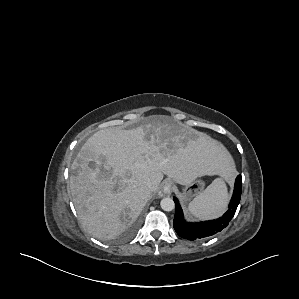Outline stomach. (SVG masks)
Masks as SVG:
<instances>
[{
  "mask_svg": "<svg viewBox=\"0 0 299 299\" xmlns=\"http://www.w3.org/2000/svg\"><path fill=\"white\" fill-rule=\"evenodd\" d=\"M203 186V181L198 177L195 180H193L190 184L185 185V188L181 193V198L183 202L187 203L191 201L193 197L198 196L201 193Z\"/></svg>",
  "mask_w": 299,
  "mask_h": 299,
  "instance_id": "stomach-1",
  "label": "stomach"
}]
</instances>
